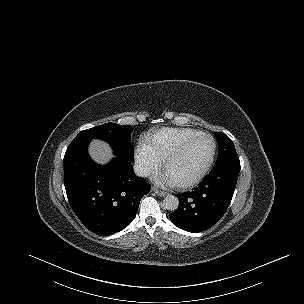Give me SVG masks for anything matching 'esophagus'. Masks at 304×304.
<instances>
[{
	"instance_id": "34e87169",
	"label": "esophagus",
	"mask_w": 304,
	"mask_h": 304,
	"mask_svg": "<svg viewBox=\"0 0 304 304\" xmlns=\"http://www.w3.org/2000/svg\"><path fill=\"white\" fill-rule=\"evenodd\" d=\"M152 191L160 197H164L168 194L167 192L159 190L156 187H152Z\"/></svg>"
}]
</instances>
